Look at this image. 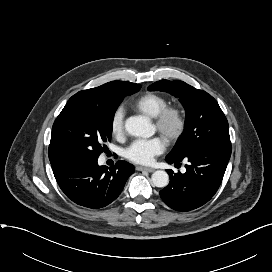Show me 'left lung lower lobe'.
<instances>
[{
	"label": "left lung lower lobe",
	"mask_w": 272,
	"mask_h": 272,
	"mask_svg": "<svg viewBox=\"0 0 272 272\" xmlns=\"http://www.w3.org/2000/svg\"><path fill=\"white\" fill-rule=\"evenodd\" d=\"M231 146L202 148L187 157L184 174L167 170L170 183L160 191L162 200L172 209L186 212L207 203L218 190L231 156ZM166 157L169 164L183 160Z\"/></svg>",
	"instance_id": "left-lung-lower-lobe-1"
}]
</instances>
